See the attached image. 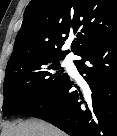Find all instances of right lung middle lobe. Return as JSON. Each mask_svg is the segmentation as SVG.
<instances>
[{
    "label": "right lung middle lobe",
    "instance_id": "right-lung-middle-lobe-1",
    "mask_svg": "<svg viewBox=\"0 0 117 136\" xmlns=\"http://www.w3.org/2000/svg\"><path fill=\"white\" fill-rule=\"evenodd\" d=\"M62 58L36 55L7 64L3 84L4 117L16 115L25 104L50 92L68 76L60 66Z\"/></svg>",
    "mask_w": 117,
    "mask_h": 136
}]
</instances>
